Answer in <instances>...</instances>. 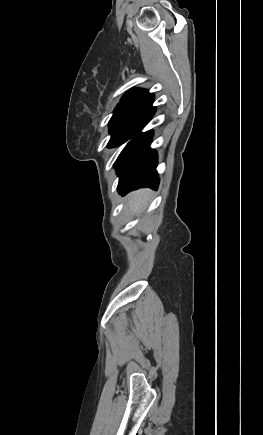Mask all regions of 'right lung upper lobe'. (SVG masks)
Returning <instances> with one entry per match:
<instances>
[{"mask_svg":"<svg viewBox=\"0 0 263 435\" xmlns=\"http://www.w3.org/2000/svg\"><path fill=\"white\" fill-rule=\"evenodd\" d=\"M154 100V95L145 89H132L128 91L117 106L139 105L147 106Z\"/></svg>","mask_w":263,"mask_h":435,"instance_id":"cb5924a9","label":"right lung upper lobe"}]
</instances>
